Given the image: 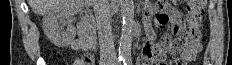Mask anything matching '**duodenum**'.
<instances>
[{"mask_svg": "<svg viewBox=\"0 0 232 65\" xmlns=\"http://www.w3.org/2000/svg\"><path fill=\"white\" fill-rule=\"evenodd\" d=\"M79 33L83 39H85L89 48L93 47V38H94V22L90 14L84 15L82 21L79 25Z\"/></svg>", "mask_w": 232, "mask_h": 65, "instance_id": "410a0bca", "label": "duodenum"}]
</instances>
